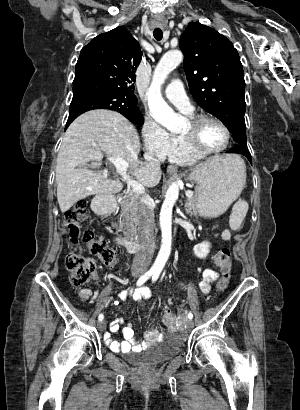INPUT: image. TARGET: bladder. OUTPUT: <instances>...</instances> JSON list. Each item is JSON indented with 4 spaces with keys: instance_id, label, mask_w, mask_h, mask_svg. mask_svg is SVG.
Returning a JSON list of instances; mask_svg holds the SVG:
<instances>
[{
    "instance_id": "obj_1",
    "label": "bladder",
    "mask_w": 300,
    "mask_h": 410,
    "mask_svg": "<svg viewBox=\"0 0 300 410\" xmlns=\"http://www.w3.org/2000/svg\"><path fill=\"white\" fill-rule=\"evenodd\" d=\"M181 347L174 342L153 343L150 347L137 353H126L125 358L140 367H151L161 364L180 353Z\"/></svg>"
}]
</instances>
